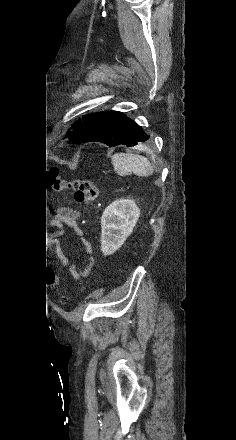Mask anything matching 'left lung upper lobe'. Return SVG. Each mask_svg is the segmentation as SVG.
Here are the masks:
<instances>
[{
	"label": "left lung upper lobe",
	"mask_w": 236,
	"mask_h": 440,
	"mask_svg": "<svg viewBox=\"0 0 236 440\" xmlns=\"http://www.w3.org/2000/svg\"><path fill=\"white\" fill-rule=\"evenodd\" d=\"M93 114L90 115H86L83 117V120L79 119L78 121H76L72 126L71 129L72 131H68L67 135H68V139L70 140L80 129V127L82 126V124L89 119Z\"/></svg>",
	"instance_id": "obj_1"
}]
</instances>
